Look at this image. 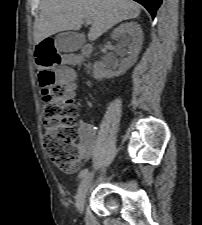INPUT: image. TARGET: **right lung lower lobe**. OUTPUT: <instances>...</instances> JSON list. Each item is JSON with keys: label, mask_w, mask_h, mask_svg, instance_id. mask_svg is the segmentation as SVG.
Listing matches in <instances>:
<instances>
[{"label": "right lung lower lobe", "mask_w": 202, "mask_h": 225, "mask_svg": "<svg viewBox=\"0 0 202 225\" xmlns=\"http://www.w3.org/2000/svg\"><path fill=\"white\" fill-rule=\"evenodd\" d=\"M142 4L151 14L152 18L155 17L156 11L162 3V0H135Z\"/></svg>", "instance_id": "98d812e1"}]
</instances>
